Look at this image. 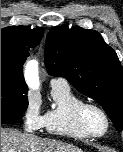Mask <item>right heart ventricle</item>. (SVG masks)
Returning <instances> with one entry per match:
<instances>
[{"mask_svg":"<svg viewBox=\"0 0 123 152\" xmlns=\"http://www.w3.org/2000/svg\"><path fill=\"white\" fill-rule=\"evenodd\" d=\"M51 94L54 105L44 113L42 128L53 136L87 138L74 121V109L83 101L72 92L69 86L52 87Z\"/></svg>","mask_w":123,"mask_h":152,"instance_id":"e07e8e85","label":"right heart ventricle"}]
</instances>
